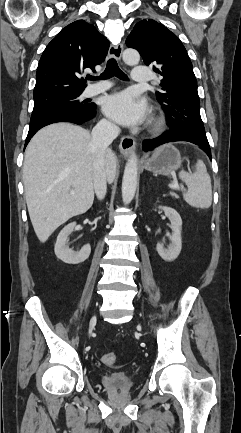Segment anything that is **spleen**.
Instances as JSON below:
<instances>
[{"label": "spleen", "instance_id": "3e777b00", "mask_svg": "<svg viewBox=\"0 0 241 433\" xmlns=\"http://www.w3.org/2000/svg\"><path fill=\"white\" fill-rule=\"evenodd\" d=\"M195 172H179L180 179L187 185L188 191L183 194L184 200L193 207L207 209L212 203L211 179L203 161L197 160Z\"/></svg>", "mask_w": 241, "mask_h": 433}]
</instances>
